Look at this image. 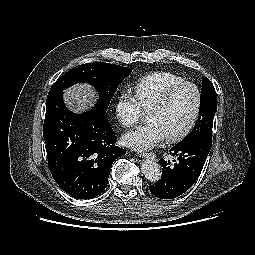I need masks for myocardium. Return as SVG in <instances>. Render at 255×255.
Listing matches in <instances>:
<instances>
[{"mask_svg":"<svg viewBox=\"0 0 255 255\" xmlns=\"http://www.w3.org/2000/svg\"><path fill=\"white\" fill-rule=\"evenodd\" d=\"M184 87H192L195 92H196V106H195V110L194 113L188 123V125L178 134L176 135H171V136H166V139L168 142L170 143H176V142H180L183 139H185L190 133L191 131L194 129L198 118L200 116V112H201V107H202V92L200 90V88L189 81H183L179 84H176L174 86H172L171 88H169L162 96L161 98L151 107V109L148 111V114L154 111H159L162 110L170 101L171 97L181 88Z\"/></svg>","mask_w":255,"mask_h":255,"instance_id":"myocardium-1","label":"myocardium"}]
</instances>
